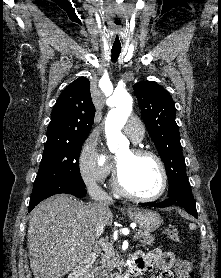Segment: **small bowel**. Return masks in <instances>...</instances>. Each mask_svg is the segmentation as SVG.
Listing matches in <instances>:
<instances>
[{
    "mask_svg": "<svg viewBox=\"0 0 221 278\" xmlns=\"http://www.w3.org/2000/svg\"><path fill=\"white\" fill-rule=\"evenodd\" d=\"M133 259L141 272L146 269L158 271V278H172V268L177 270V266L180 262L189 263L185 260L177 259L172 252L161 251L160 249L151 250L146 255L136 254Z\"/></svg>",
    "mask_w": 221,
    "mask_h": 278,
    "instance_id": "obj_1",
    "label": "small bowel"
}]
</instances>
